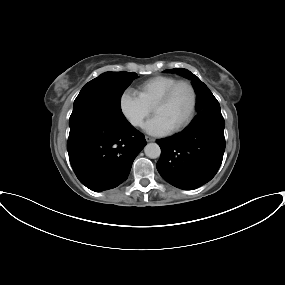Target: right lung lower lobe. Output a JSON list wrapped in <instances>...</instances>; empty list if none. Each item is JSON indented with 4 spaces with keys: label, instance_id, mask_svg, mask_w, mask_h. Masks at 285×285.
Here are the masks:
<instances>
[{
    "label": "right lung lower lobe",
    "instance_id": "obj_1",
    "mask_svg": "<svg viewBox=\"0 0 285 285\" xmlns=\"http://www.w3.org/2000/svg\"><path fill=\"white\" fill-rule=\"evenodd\" d=\"M145 145L144 135L128 121L91 116L70 126L67 150L79 181L101 192L127 179L134 159Z\"/></svg>",
    "mask_w": 285,
    "mask_h": 285
}]
</instances>
